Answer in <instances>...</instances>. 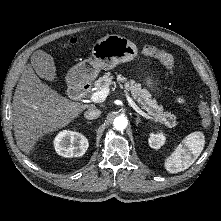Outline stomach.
I'll return each instance as SVG.
<instances>
[{
  "label": "stomach",
  "mask_w": 221,
  "mask_h": 221,
  "mask_svg": "<svg viewBox=\"0 0 221 221\" xmlns=\"http://www.w3.org/2000/svg\"><path fill=\"white\" fill-rule=\"evenodd\" d=\"M92 58L86 59L73 66L68 77L74 86L93 81L100 70L114 69L118 64L130 62L138 56L137 46L128 38L111 34L97 40L92 47ZM146 84L154 87V81L146 78Z\"/></svg>",
  "instance_id": "obj_1"
}]
</instances>
